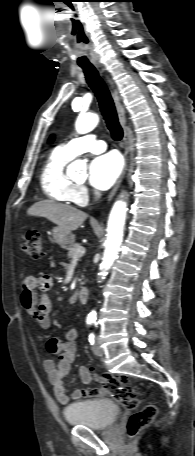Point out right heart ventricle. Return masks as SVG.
I'll use <instances>...</instances> for the list:
<instances>
[{
	"label": "right heart ventricle",
	"mask_w": 195,
	"mask_h": 456,
	"mask_svg": "<svg viewBox=\"0 0 195 456\" xmlns=\"http://www.w3.org/2000/svg\"><path fill=\"white\" fill-rule=\"evenodd\" d=\"M71 159L60 148H56L46 160L40 175V185L48 198L63 203L74 202L75 184L65 173V167Z\"/></svg>",
	"instance_id": "obj_1"
}]
</instances>
